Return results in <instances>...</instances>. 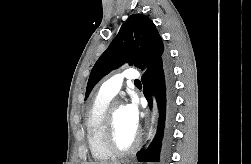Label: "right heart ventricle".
I'll list each match as a JSON object with an SVG mask.
<instances>
[{
	"label": "right heart ventricle",
	"mask_w": 251,
	"mask_h": 164,
	"mask_svg": "<svg viewBox=\"0 0 251 164\" xmlns=\"http://www.w3.org/2000/svg\"><path fill=\"white\" fill-rule=\"evenodd\" d=\"M112 97L99 93L92 101L85 120L86 136L90 153L95 160L104 161L114 154L105 143V119Z\"/></svg>",
	"instance_id": "1"
}]
</instances>
